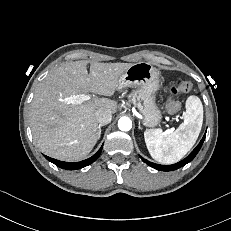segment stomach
<instances>
[{
    "instance_id": "stomach-1",
    "label": "stomach",
    "mask_w": 231,
    "mask_h": 231,
    "mask_svg": "<svg viewBox=\"0 0 231 231\" xmlns=\"http://www.w3.org/2000/svg\"><path fill=\"white\" fill-rule=\"evenodd\" d=\"M131 87V100L142 114V123L147 127L157 126L162 119L160 109L155 103L159 88L156 69L147 62L132 64L119 77L118 88Z\"/></svg>"
}]
</instances>
